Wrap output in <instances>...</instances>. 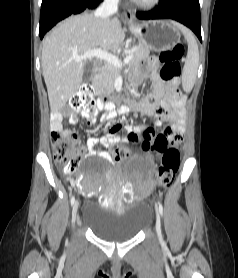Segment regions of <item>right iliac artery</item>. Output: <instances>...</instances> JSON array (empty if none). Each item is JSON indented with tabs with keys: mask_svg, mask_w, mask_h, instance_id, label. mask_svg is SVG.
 I'll use <instances>...</instances> for the list:
<instances>
[{
	"mask_svg": "<svg viewBox=\"0 0 238 278\" xmlns=\"http://www.w3.org/2000/svg\"><path fill=\"white\" fill-rule=\"evenodd\" d=\"M70 203H71V205H73V204L75 203V198H74V196L71 197Z\"/></svg>",
	"mask_w": 238,
	"mask_h": 278,
	"instance_id": "82829eb1",
	"label": "right iliac artery"
}]
</instances>
